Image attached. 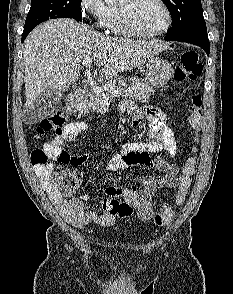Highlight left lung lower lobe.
Returning <instances> with one entry per match:
<instances>
[{
	"mask_svg": "<svg viewBox=\"0 0 233 294\" xmlns=\"http://www.w3.org/2000/svg\"><path fill=\"white\" fill-rule=\"evenodd\" d=\"M165 40L187 42V43L197 45L201 47L202 49H204L206 54L209 55L210 46H209L207 32L190 31V32L180 33L174 36L166 35Z\"/></svg>",
	"mask_w": 233,
	"mask_h": 294,
	"instance_id": "0a47b994",
	"label": "left lung lower lobe"
}]
</instances>
